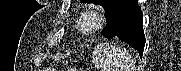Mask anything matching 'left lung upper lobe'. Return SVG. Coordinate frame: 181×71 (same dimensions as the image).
Listing matches in <instances>:
<instances>
[{"label": "left lung upper lobe", "mask_w": 181, "mask_h": 71, "mask_svg": "<svg viewBox=\"0 0 181 71\" xmlns=\"http://www.w3.org/2000/svg\"><path fill=\"white\" fill-rule=\"evenodd\" d=\"M117 0H82L83 3H94L96 5H101L107 12L111 6L116 2Z\"/></svg>", "instance_id": "left-lung-upper-lobe-1"}]
</instances>
